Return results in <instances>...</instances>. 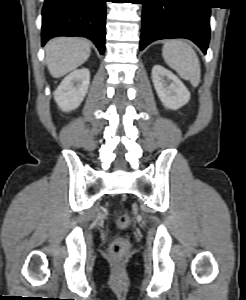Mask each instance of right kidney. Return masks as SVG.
I'll list each match as a JSON object with an SVG mask.
<instances>
[{"mask_svg": "<svg viewBox=\"0 0 246 300\" xmlns=\"http://www.w3.org/2000/svg\"><path fill=\"white\" fill-rule=\"evenodd\" d=\"M90 84V71L77 69L67 75L54 92V99L62 111L76 109L87 94Z\"/></svg>", "mask_w": 246, "mask_h": 300, "instance_id": "1", "label": "right kidney"}]
</instances>
